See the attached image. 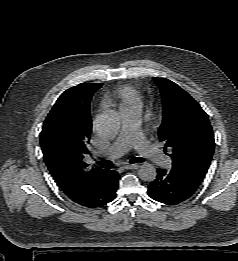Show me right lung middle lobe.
Returning <instances> with one entry per match:
<instances>
[{
	"label": "right lung middle lobe",
	"instance_id": "obj_1",
	"mask_svg": "<svg viewBox=\"0 0 238 261\" xmlns=\"http://www.w3.org/2000/svg\"><path fill=\"white\" fill-rule=\"evenodd\" d=\"M69 112V109L64 101L54 104L52 110L47 116L48 119L52 121H58L65 117L66 113Z\"/></svg>",
	"mask_w": 238,
	"mask_h": 261
}]
</instances>
